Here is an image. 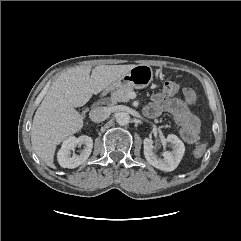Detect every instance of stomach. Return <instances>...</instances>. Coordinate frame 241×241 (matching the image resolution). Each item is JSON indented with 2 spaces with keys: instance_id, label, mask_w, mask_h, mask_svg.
Returning a JSON list of instances; mask_svg holds the SVG:
<instances>
[{
  "instance_id": "obj_1",
  "label": "stomach",
  "mask_w": 241,
  "mask_h": 241,
  "mask_svg": "<svg viewBox=\"0 0 241 241\" xmlns=\"http://www.w3.org/2000/svg\"><path fill=\"white\" fill-rule=\"evenodd\" d=\"M153 80V70L149 65H135L127 74L115 81L112 86L122 88L131 86L136 89L147 87Z\"/></svg>"
}]
</instances>
